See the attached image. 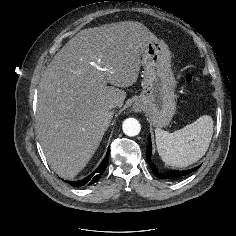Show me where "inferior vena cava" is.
I'll list each match as a JSON object with an SVG mask.
<instances>
[{
    "label": "inferior vena cava",
    "instance_id": "602c4592",
    "mask_svg": "<svg viewBox=\"0 0 236 236\" xmlns=\"http://www.w3.org/2000/svg\"><path fill=\"white\" fill-rule=\"evenodd\" d=\"M108 107H109L110 109L115 108V107H116V104H115V103H110V104L108 105Z\"/></svg>",
    "mask_w": 236,
    "mask_h": 236
}]
</instances>
